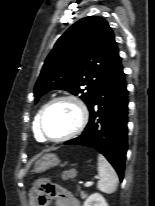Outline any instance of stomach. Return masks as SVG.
Returning <instances> with one entry per match:
<instances>
[{"mask_svg":"<svg viewBox=\"0 0 155 206\" xmlns=\"http://www.w3.org/2000/svg\"><path fill=\"white\" fill-rule=\"evenodd\" d=\"M60 163L59 158L55 154H46L41 157L35 165V172H42L46 169L54 167Z\"/></svg>","mask_w":155,"mask_h":206,"instance_id":"obj_1","label":"stomach"}]
</instances>
